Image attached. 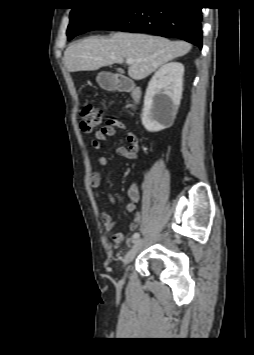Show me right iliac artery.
I'll list each match as a JSON object with an SVG mask.
<instances>
[{"mask_svg": "<svg viewBox=\"0 0 254 355\" xmlns=\"http://www.w3.org/2000/svg\"><path fill=\"white\" fill-rule=\"evenodd\" d=\"M139 236H140L139 233L135 232L132 237H133V239H138Z\"/></svg>", "mask_w": 254, "mask_h": 355, "instance_id": "82829eb1", "label": "right iliac artery"}]
</instances>
